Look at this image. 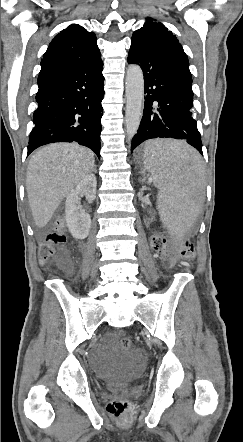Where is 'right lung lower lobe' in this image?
Here are the masks:
<instances>
[{
	"mask_svg": "<svg viewBox=\"0 0 243 442\" xmlns=\"http://www.w3.org/2000/svg\"><path fill=\"white\" fill-rule=\"evenodd\" d=\"M102 70L100 59L38 76L28 155L45 144L78 142L100 157Z\"/></svg>",
	"mask_w": 243,
	"mask_h": 442,
	"instance_id": "1",
	"label": "right lung lower lobe"
}]
</instances>
